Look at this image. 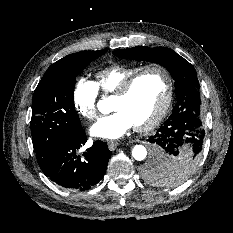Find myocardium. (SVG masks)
Segmentation results:
<instances>
[{
	"mask_svg": "<svg viewBox=\"0 0 233 233\" xmlns=\"http://www.w3.org/2000/svg\"><path fill=\"white\" fill-rule=\"evenodd\" d=\"M159 71L163 73L166 79V93L164 97V101L157 111V113L146 123L141 125H135L134 128L138 132H148L154 129L165 117L167 114L169 107L173 98V79L170 72L162 65H147L139 69L137 72L129 76L126 80H124L121 85L117 88V90L113 93V97H124L128 94L136 80L148 71Z\"/></svg>",
	"mask_w": 233,
	"mask_h": 233,
	"instance_id": "myocardium-1",
	"label": "myocardium"
}]
</instances>
